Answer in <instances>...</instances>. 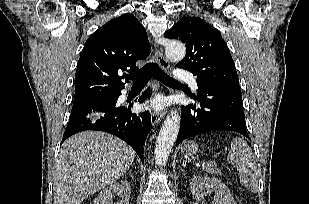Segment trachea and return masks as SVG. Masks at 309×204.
Returning a JSON list of instances; mask_svg holds the SVG:
<instances>
[{
  "label": "trachea",
  "instance_id": "1",
  "mask_svg": "<svg viewBox=\"0 0 309 204\" xmlns=\"http://www.w3.org/2000/svg\"><path fill=\"white\" fill-rule=\"evenodd\" d=\"M128 78L133 80L134 85H145L151 77L159 80L164 84H179V82L169 77L157 63H147L143 68L134 74L127 75Z\"/></svg>",
  "mask_w": 309,
  "mask_h": 204
}]
</instances>
